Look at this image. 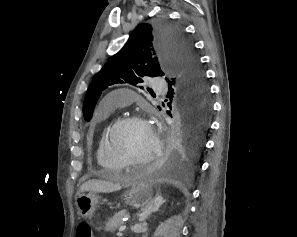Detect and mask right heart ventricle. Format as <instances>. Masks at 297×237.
Instances as JSON below:
<instances>
[{"mask_svg": "<svg viewBox=\"0 0 297 237\" xmlns=\"http://www.w3.org/2000/svg\"><path fill=\"white\" fill-rule=\"evenodd\" d=\"M112 111L113 109L111 108H105L101 106L100 116H107L111 114ZM112 124L113 123L104 127L96 147L97 162L99 166L106 170L109 174H115L124 168V166L111 154L108 148L107 136Z\"/></svg>", "mask_w": 297, "mask_h": 237, "instance_id": "1", "label": "right heart ventricle"}]
</instances>
